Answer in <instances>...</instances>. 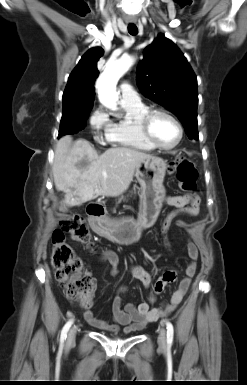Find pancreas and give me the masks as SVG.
<instances>
[{
  "label": "pancreas",
  "instance_id": "obj_1",
  "mask_svg": "<svg viewBox=\"0 0 247 385\" xmlns=\"http://www.w3.org/2000/svg\"><path fill=\"white\" fill-rule=\"evenodd\" d=\"M124 199V197L122 196L120 199H119V201H121V200H123Z\"/></svg>",
  "mask_w": 247,
  "mask_h": 385
}]
</instances>
